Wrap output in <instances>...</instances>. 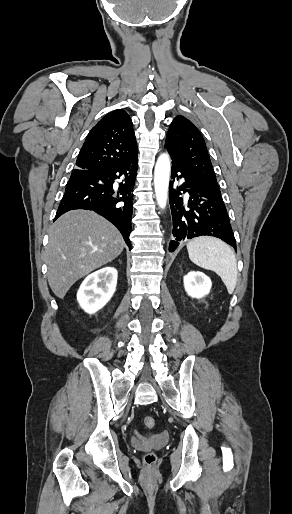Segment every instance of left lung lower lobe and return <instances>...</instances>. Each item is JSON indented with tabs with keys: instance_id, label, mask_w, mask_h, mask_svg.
I'll return each mask as SVG.
<instances>
[{
	"instance_id": "1",
	"label": "left lung lower lobe",
	"mask_w": 292,
	"mask_h": 514,
	"mask_svg": "<svg viewBox=\"0 0 292 514\" xmlns=\"http://www.w3.org/2000/svg\"><path fill=\"white\" fill-rule=\"evenodd\" d=\"M171 171L173 181L169 185V202L173 240L170 241L169 251L173 252L181 240L202 235L220 238L236 249V240L220 188L192 177L173 158ZM176 178H184L185 182L174 189ZM180 191L187 193V197H183Z\"/></svg>"
}]
</instances>
